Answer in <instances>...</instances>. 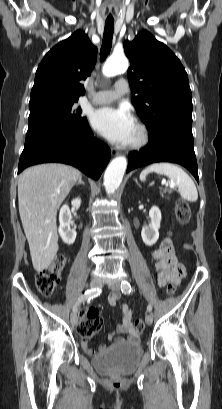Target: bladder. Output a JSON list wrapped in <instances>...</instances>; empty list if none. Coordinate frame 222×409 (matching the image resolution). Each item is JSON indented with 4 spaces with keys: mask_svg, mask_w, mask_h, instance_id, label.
Here are the masks:
<instances>
[{
    "mask_svg": "<svg viewBox=\"0 0 222 409\" xmlns=\"http://www.w3.org/2000/svg\"><path fill=\"white\" fill-rule=\"evenodd\" d=\"M142 355L141 344L127 342L113 345L95 355L92 358V364L94 369L103 374L127 375L136 370Z\"/></svg>",
    "mask_w": 222,
    "mask_h": 409,
    "instance_id": "obj_1",
    "label": "bladder"
}]
</instances>
